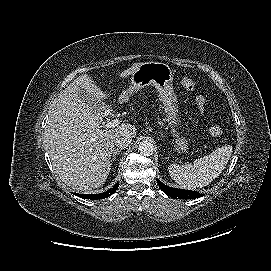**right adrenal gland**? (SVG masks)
<instances>
[{
    "mask_svg": "<svg viewBox=\"0 0 271 271\" xmlns=\"http://www.w3.org/2000/svg\"><path fill=\"white\" fill-rule=\"evenodd\" d=\"M123 150V148H116L113 150L111 162H114L116 156Z\"/></svg>",
    "mask_w": 271,
    "mask_h": 271,
    "instance_id": "2a0ac1e0",
    "label": "right adrenal gland"
}]
</instances>
